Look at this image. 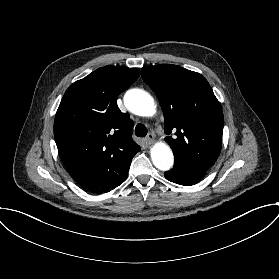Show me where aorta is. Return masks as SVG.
Returning <instances> with one entry per match:
<instances>
[{
    "instance_id": "1",
    "label": "aorta",
    "mask_w": 279,
    "mask_h": 279,
    "mask_svg": "<svg viewBox=\"0 0 279 279\" xmlns=\"http://www.w3.org/2000/svg\"><path fill=\"white\" fill-rule=\"evenodd\" d=\"M124 105L135 115L151 117L156 113L153 97L142 89H130L124 95ZM151 159L154 166L161 170H169L174 163L171 148L165 142L156 143L151 149Z\"/></svg>"
}]
</instances>
